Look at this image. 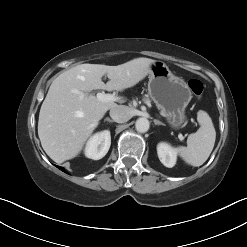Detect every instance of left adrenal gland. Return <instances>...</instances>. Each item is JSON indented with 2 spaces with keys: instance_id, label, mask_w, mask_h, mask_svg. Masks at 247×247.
<instances>
[{
  "instance_id": "obj_1",
  "label": "left adrenal gland",
  "mask_w": 247,
  "mask_h": 247,
  "mask_svg": "<svg viewBox=\"0 0 247 247\" xmlns=\"http://www.w3.org/2000/svg\"><path fill=\"white\" fill-rule=\"evenodd\" d=\"M154 124H155V125H162V126H165L164 123H162V122H160L159 120H156V119H154Z\"/></svg>"
}]
</instances>
